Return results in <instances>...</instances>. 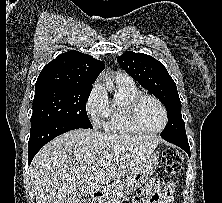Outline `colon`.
I'll return each mask as SVG.
<instances>
[{
    "instance_id": "colon-1",
    "label": "colon",
    "mask_w": 222,
    "mask_h": 203,
    "mask_svg": "<svg viewBox=\"0 0 222 203\" xmlns=\"http://www.w3.org/2000/svg\"><path fill=\"white\" fill-rule=\"evenodd\" d=\"M164 174L167 178L173 177L182 166V157L174 148H167L162 156Z\"/></svg>"
}]
</instances>
